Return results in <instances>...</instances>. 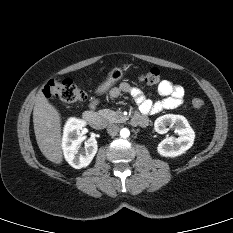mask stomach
I'll list each match as a JSON object with an SVG mask.
<instances>
[{"mask_svg":"<svg viewBox=\"0 0 233 233\" xmlns=\"http://www.w3.org/2000/svg\"><path fill=\"white\" fill-rule=\"evenodd\" d=\"M123 75L124 72L121 68L115 67L114 69H112L109 72L106 81L98 88V92L99 93L105 92L107 89H109V87H111L116 82L121 80L123 78Z\"/></svg>","mask_w":233,"mask_h":233,"instance_id":"obj_1","label":"stomach"}]
</instances>
